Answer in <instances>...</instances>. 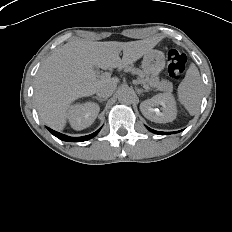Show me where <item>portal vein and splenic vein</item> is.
<instances>
[{
  "label": "portal vein and splenic vein",
  "mask_w": 232,
  "mask_h": 232,
  "mask_svg": "<svg viewBox=\"0 0 232 232\" xmlns=\"http://www.w3.org/2000/svg\"><path fill=\"white\" fill-rule=\"evenodd\" d=\"M101 77H102V78H107V77H110V75H109V73L106 72V73H103V74L101 75Z\"/></svg>",
  "instance_id": "portal-vein-and-splenic-vein-1"
}]
</instances>
